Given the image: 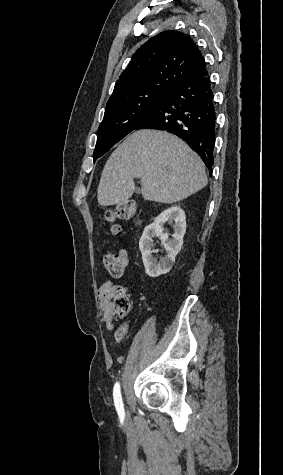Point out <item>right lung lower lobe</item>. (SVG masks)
Masks as SVG:
<instances>
[{"label": "right lung lower lobe", "instance_id": "1", "mask_svg": "<svg viewBox=\"0 0 283 475\" xmlns=\"http://www.w3.org/2000/svg\"><path fill=\"white\" fill-rule=\"evenodd\" d=\"M213 98L209 74L186 80L175 86L134 130L156 129L177 135L200 155L211 170L216 133Z\"/></svg>", "mask_w": 283, "mask_h": 475}]
</instances>
